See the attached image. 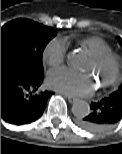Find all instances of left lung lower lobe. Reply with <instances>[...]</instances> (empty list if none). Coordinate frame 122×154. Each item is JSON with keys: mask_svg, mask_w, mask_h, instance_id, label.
Instances as JSON below:
<instances>
[{"mask_svg": "<svg viewBox=\"0 0 122 154\" xmlns=\"http://www.w3.org/2000/svg\"><path fill=\"white\" fill-rule=\"evenodd\" d=\"M89 114L78 121V125L87 131L102 132L122 119V102L111 95L104 100L92 102Z\"/></svg>", "mask_w": 122, "mask_h": 154, "instance_id": "1", "label": "left lung lower lobe"}]
</instances>
